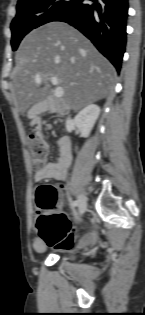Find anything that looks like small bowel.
Listing matches in <instances>:
<instances>
[{
  "label": "small bowel",
  "instance_id": "1",
  "mask_svg": "<svg viewBox=\"0 0 145 315\" xmlns=\"http://www.w3.org/2000/svg\"><path fill=\"white\" fill-rule=\"evenodd\" d=\"M33 124L36 128L40 127L38 119H34ZM58 147L59 158L56 161L48 162L42 168L35 169L33 174L35 183L45 180L62 181L66 179L67 169L71 164L70 144L67 139L62 138L58 141ZM60 201L58 210H62V198H60ZM33 248L38 252H43L46 249V243L38 236L33 240Z\"/></svg>",
  "mask_w": 145,
  "mask_h": 315
}]
</instances>
